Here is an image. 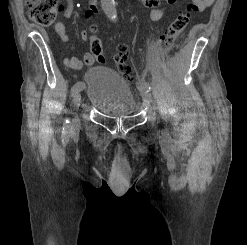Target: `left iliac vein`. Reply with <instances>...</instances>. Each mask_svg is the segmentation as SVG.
I'll return each instance as SVG.
<instances>
[{
  "mask_svg": "<svg viewBox=\"0 0 247 245\" xmlns=\"http://www.w3.org/2000/svg\"><path fill=\"white\" fill-rule=\"evenodd\" d=\"M140 93H141V96H142L145 104L149 106L152 102L151 94L148 93V91L146 90V88L144 86L140 87Z\"/></svg>",
  "mask_w": 247,
  "mask_h": 245,
  "instance_id": "left-iliac-vein-1",
  "label": "left iliac vein"
}]
</instances>
